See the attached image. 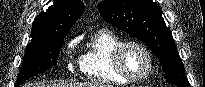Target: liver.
I'll return each mask as SVG.
<instances>
[{
  "mask_svg": "<svg viewBox=\"0 0 205 87\" xmlns=\"http://www.w3.org/2000/svg\"><path fill=\"white\" fill-rule=\"evenodd\" d=\"M23 87H32L31 84H25ZM35 87H111L110 85L102 84L100 82H88V83H59V84H37Z\"/></svg>",
  "mask_w": 205,
  "mask_h": 87,
  "instance_id": "liver-1",
  "label": "liver"
}]
</instances>
